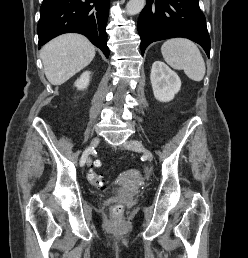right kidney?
Instances as JSON below:
<instances>
[{"label":"right kidney","instance_id":"ca27d5eb","mask_svg":"<svg viewBox=\"0 0 248 258\" xmlns=\"http://www.w3.org/2000/svg\"><path fill=\"white\" fill-rule=\"evenodd\" d=\"M90 81V72L86 71L82 73L79 79L75 82V86L78 90H83L89 85Z\"/></svg>","mask_w":248,"mask_h":258}]
</instances>
